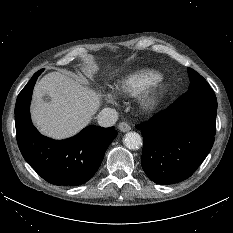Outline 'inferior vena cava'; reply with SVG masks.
I'll return each instance as SVG.
<instances>
[{"instance_id":"602c4592","label":"inferior vena cava","mask_w":233,"mask_h":233,"mask_svg":"<svg viewBox=\"0 0 233 233\" xmlns=\"http://www.w3.org/2000/svg\"><path fill=\"white\" fill-rule=\"evenodd\" d=\"M98 124L102 127L113 126L118 119V112L112 108H104L98 114Z\"/></svg>"}]
</instances>
